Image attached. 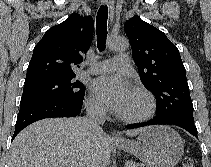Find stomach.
Masks as SVG:
<instances>
[{
    "mask_svg": "<svg viewBox=\"0 0 211 167\" xmlns=\"http://www.w3.org/2000/svg\"><path fill=\"white\" fill-rule=\"evenodd\" d=\"M146 167H175L184 152L183 140L168 126L146 128L136 140L116 142Z\"/></svg>",
    "mask_w": 211,
    "mask_h": 167,
    "instance_id": "obj_1",
    "label": "stomach"
}]
</instances>
